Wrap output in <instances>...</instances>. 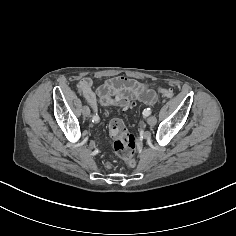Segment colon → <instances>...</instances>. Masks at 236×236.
I'll use <instances>...</instances> for the list:
<instances>
[{
  "label": "colon",
  "instance_id": "5ec220e1",
  "mask_svg": "<svg viewBox=\"0 0 236 236\" xmlns=\"http://www.w3.org/2000/svg\"><path fill=\"white\" fill-rule=\"evenodd\" d=\"M157 90L166 98L173 99L175 94L172 89L158 87ZM100 103L104 106L118 105L123 108L131 106V100L126 93L110 92L100 96ZM109 134L113 140L115 153L123 159L128 166L135 165L136 142L134 136L128 131L124 122L119 118H114L109 123Z\"/></svg>",
  "mask_w": 236,
  "mask_h": 236
}]
</instances>
